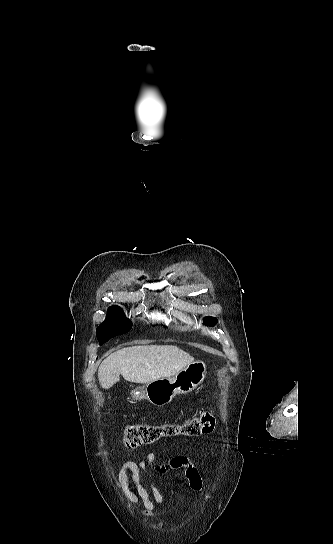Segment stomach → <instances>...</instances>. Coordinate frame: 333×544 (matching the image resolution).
I'll return each mask as SVG.
<instances>
[{
  "instance_id": "stomach-1",
  "label": "stomach",
  "mask_w": 333,
  "mask_h": 544,
  "mask_svg": "<svg viewBox=\"0 0 333 544\" xmlns=\"http://www.w3.org/2000/svg\"><path fill=\"white\" fill-rule=\"evenodd\" d=\"M203 361H194L173 377H164L146 383L131 391L134 401L148 400L155 406H164L177 394H186L200 385L206 376Z\"/></svg>"
}]
</instances>
